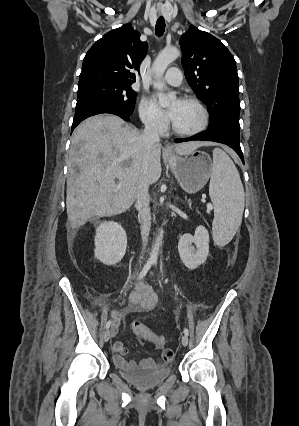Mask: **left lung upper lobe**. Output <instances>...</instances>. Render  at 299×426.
Listing matches in <instances>:
<instances>
[{
  "label": "left lung upper lobe",
  "mask_w": 299,
  "mask_h": 426,
  "mask_svg": "<svg viewBox=\"0 0 299 426\" xmlns=\"http://www.w3.org/2000/svg\"><path fill=\"white\" fill-rule=\"evenodd\" d=\"M189 85L210 109L208 129L240 133L238 74L234 57L211 34L190 26L179 41Z\"/></svg>",
  "instance_id": "obj_1"
}]
</instances>
